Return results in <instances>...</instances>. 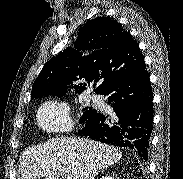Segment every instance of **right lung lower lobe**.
Returning a JSON list of instances; mask_svg holds the SVG:
<instances>
[{
    "label": "right lung lower lobe",
    "instance_id": "1",
    "mask_svg": "<svg viewBox=\"0 0 183 179\" xmlns=\"http://www.w3.org/2000/svg\"><path fill=\"white\" fill-rule=\"evenodd\" d=\"M99 94L107 97L114 114L108 116L96 112L81 123L78 134L130 148L146 162L153 128V92L146 64L110 84Z\"/></svg>",
    "mask_w": 183,
    "mask_h": 179
}]
</instances>
